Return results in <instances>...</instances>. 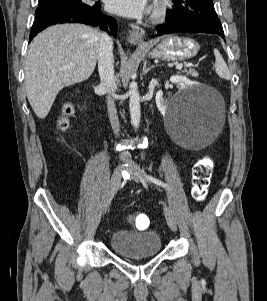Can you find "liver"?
Here are the masks:
<instances>
[{
    "label": "liver",
    "mask_w": 267,
    "mask_h": 301,
    "mask_svg": "<svg viewBox=\"0 0 267 301\" xmlns=\"http://www.w3.org/2000/svg\"><path fill=\"white\" fill-rule=\"evenodd\" d=\"M101 33L82 24L48 27L32 41L25 62V89L38 118L44 119L57 94L87 80L98 59Z\"/></svg>",
    "instance_id": "6515ba94"
}]
</instances>
